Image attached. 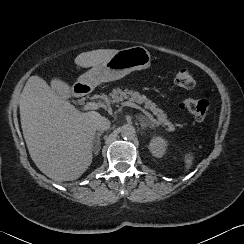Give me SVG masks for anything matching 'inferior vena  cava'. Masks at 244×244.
Returning a JSON list of instances; mask_svg holds the SVG:
<instances>
[{
	"instance_id": "602c4592",
	"label": "inferior vena cava",
	"mask_w": 244,
	"mask_h": 244,
	"mask_svg": "<svg viewBox=\"0 0 244 244\" xmlns=\"http://www.w3.org/2000/svg\"><path fill=\"white\" fill-rule=\"evenodd\" d=\"M93 126L98 131H105L110 128V121L103 116H99L94 120Z\"/></svg>"
}]
</instances>
